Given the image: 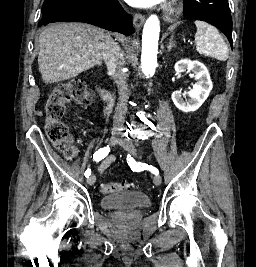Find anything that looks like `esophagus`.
Masks as SVG:
<instances>
[{"label": "esophagus", "mask_w": 256, "mask_h": 267, "mask_svg": "<svg viewBox=\"0 0 256 267\" xmlns=\"http://www.w3.org/2000/svg\"><path fill=\"white\" fill-rule=\"evenodd\" d=\"M144 21H145L144 15H142L140 13H136L134 15L133 23H134L136 28H140L141 25H143Z\"/></svg>", "instance_id": "esophagus-1"}]
</instances>
